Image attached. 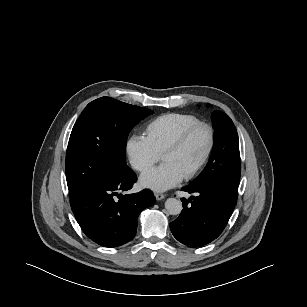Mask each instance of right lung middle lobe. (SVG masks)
Wrapping results in <instances>:
<instances>
[{
  "label": "right lung middle lobe",
  "instance_id": "dd1d6c3e",
  "mask_svg": "<svg viewBox=\"0 0 307 307\" xmlns=\"http://www.w3.org/2000/svg\"><path fill=\"white\" fill-rule=\"evenodd\" d=\"M152 113L111 97L98 98L86 106L67 147L65 169L70 198L127 169L128 134Z\"/></svg>",
  "mask_w": 307,
  "mask_h": 307
}]
</instances>
